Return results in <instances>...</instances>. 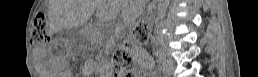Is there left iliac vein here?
<instances>
[{
  "label": "left iliac vein",
  "mask_w": 258,
  "mask_h": 77,
  "mask_svg": "<svg viewBox=\"0 0 258 77\" xmlns=\"http://www.w3.org/2000/svg\"><path fill=\"white\" fill-rule=\"evenodd\" d=\"M175 70V64L174 62L169 58H163L161 61V71L166 74L170 75Z\"/></svg>",
  "instance_id": "left-iliac-vein-1"
}]
</instances>
